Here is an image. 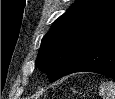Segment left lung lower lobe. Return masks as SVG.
<instances>
[{"label": "left lung lower lobe", "mask_w": 115, "mask_h": 99, "mask_svg": "<svg viewBox=\"0 0 115 99\" xmlns=\"http://www.w3.org/2000/svg\"><path fill=\"white\" fill-rule=\"evenodd\" d=\"M81 71L99 73L115 80V27L94 42L63 76Z\"/></svg>", "instance_id": "obj_1"}]
</instances>
